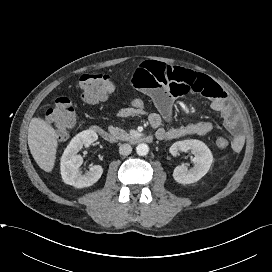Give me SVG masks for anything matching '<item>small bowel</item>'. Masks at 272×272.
<instances>
[{
    "instance_id": "obj_1",
    "label": "small bowel",
    "mask_w": 272,
    "mask_h": 272,
    "mask_svg": "<svg viewBox=\"0 0 272 272\" xmlns=\"http://www.w3.org/2000/svg\"><path fill=\"white\" fill-rule=\"evenodd\" d=\"M132 84L148 95L156 105L158 113L147 114L148 121L159 140H173L190 135H206L213 129L210 121H197L162 127V120L174 122L173 100L176 97L197 92L210 100V106L221 114L225 127L232 134L231 147L240 151L245 144V136L240 124L238 111L223 88L209 77L195 71L160 63L146 61L132 73ZM145 111L125 107L117 112L119 118L145 115Z\"/></svg>"
}]
</instances>
